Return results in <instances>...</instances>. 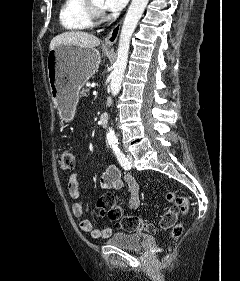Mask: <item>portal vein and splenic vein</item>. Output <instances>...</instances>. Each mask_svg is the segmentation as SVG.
<instances>
[{"instance_id":"portal-vein-and-splenic-vein-1","label":"portal vein and splenic vein","mask_w":240,"mask_h":281,"mask_svg":"<svg viewBox=\"0 0 240 281\" xmlns=\"http://www.w3.org/2000/svg\"><path fill=\"white\" fill-rule=\"evenodd\" d=\"M91 87H95V84L93 83V84H91Z\"/></svg>"}]
</instances>
